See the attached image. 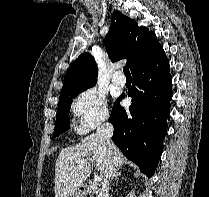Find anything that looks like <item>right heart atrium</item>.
Listing matches in <instances>:
<instances>
[{
  "label": "right heart atrium",
  "instance_id": "obj_1",
  "mask_svg": "<svg viewBox=\"0 0 209 197\" xmlns=\"http://www.w3.org/2000/svg\"><path fill=\"white\" fill-rule=\"evenodd\" d=\"M71 110L77 129L85 134L106 121L109 116L106 96L96 88L82 91L73 101Z\"/></svg>",
  "mask_w": 209,
  "mask_h": 197
}]
</instances>
